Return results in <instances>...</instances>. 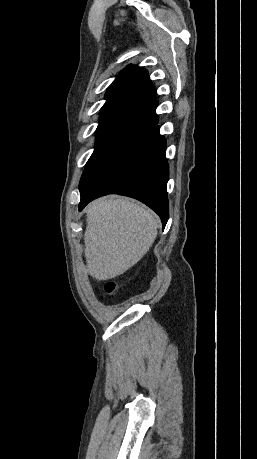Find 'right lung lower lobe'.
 <instances>
[{"mask_svg":"<svg viewBox=\"0 0 257 459\" xmlns=\"http://www.w3.org/2000/svg\"><path fill=\"white\" fill-rule=\"evenodd\" d=\"M157 103L133 114L113 136L108 146L90 164L80 180L82 210L90 201L107 194L135 198L161 218L163 228L169 217L166 185L169 167L166 141L159 134Z\"/></svg>","mask_w":257,"mask_h":459,"instance_id":"obj_1","label":"right lung lower lobe"}]
</instances>
